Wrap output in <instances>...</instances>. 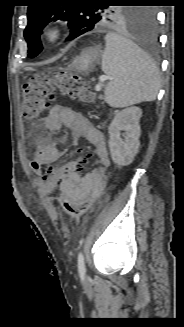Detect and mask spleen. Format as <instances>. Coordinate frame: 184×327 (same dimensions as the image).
Listing matches in <instances>:
<instances>
[{
	"instance_id": "1",
	"label": "spleen",
	"mask_w": 184,
	"mask_h": 327,
	"mask_svg": "<svg viewBox=\"0 0 184 327\" xmlns=\"http://www.w3.org/2000/svg\"><path fill=\"white\" fill-rule=\"evenodd\" d=\"M102 71L112 78L105 90L106 102L116 108L156 99L160 74L150 57L135 43L117 35L105 36Z\"/></svg>"
}]
</instances>
